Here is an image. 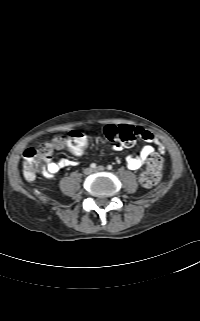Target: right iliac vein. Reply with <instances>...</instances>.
<instances>
[{
  "mask_svg": "<svg viewBox=\"0 0 200 321\" xmlns=\"http://www.w3.org/2000/svg\"><path fill=\"white\" fill-rule=\"evenodd\" d=\"M91 173H92V169L91 168H85L84 169V174L89 175Z\"/></svg>",
  "mask_w": 200,
  "mask_h": 321,
  "instance_id": "right-iliac-vein-1",
  "label": "right iliac vein"
}]
</instances>
